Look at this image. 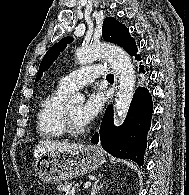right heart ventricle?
Instances as JSON below:
<instances>
[{"label": "right heart ventricle", "mask_w": 189, "mask_h": 195, "mask_svg": "<svg viewBox=\"0 0 189 195\" xmlns=\"http://www.w3.org/2000/svg\"><path fill=\"white\" fill-rule=\"evenodd\" d=\"M69 94L59 85L41 101L37 113V133L43 139H58L64 135L62 125L63 101Z\"/></svg>", "instance_id": "e07e8e85"}]
</instances>
